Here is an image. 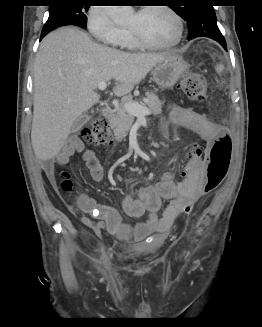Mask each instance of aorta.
Wrapping results in <instances>:
<instances>
[{
	"instance_id": "1",
	"label": "aorta",
	"mask_w": 262,
	"mask_h": 327,
	"mask_svg": "<svg viewBox=\"0 0 262 327\" xmlns=\"http://www.w3.org/2000/svg\"><path fill=\"white\" fill-rule=\"evenodd\" d=\"M122 15H123L122 13H116V14L113 15V18H114V19H118V18H120Z\"/></svg>"
}]
</instances>
